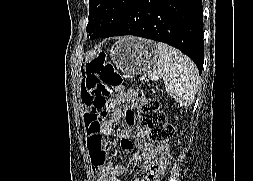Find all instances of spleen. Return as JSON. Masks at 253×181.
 Here are the masks:
<instances>
[{"label": "spleen", "instance_id": "1", "mask_svg": "<svg viewBox=\"0 0 253 181\" xmlns=\"http://www.w3.org/2000/svg\"><path fill=\"white\" fill-rule=\"evenodd\" d=\"M156 75L164 80L165 89L180 106L190 105L198 91V70L195 64L177 49L159 42Z\"/></svg>", "mask_w": 253, "mask_h": 181}]
</instances>
